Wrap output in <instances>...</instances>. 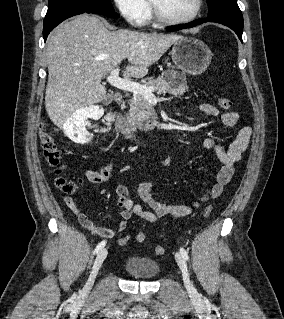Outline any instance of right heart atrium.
Instances as JSON below:
<instances>
[{"instance_id":"1","label":"right heart atrium","mask_w":284,"mask_h":319,"mask_svg":"<svg viewBox=\"0 0 284 319\" xmlns=\"http://www.w3.org/2000/svg\"><path fill=\"white\" fill-rule=\"evenodd\" d=\"M119 14L134 27L143 25L149 13L146 0H113Z\"/></svg>"}]
</instances>
